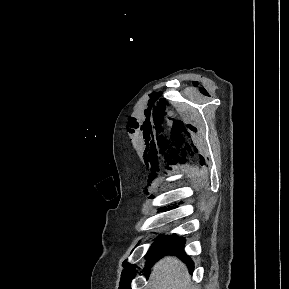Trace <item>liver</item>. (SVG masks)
<instances>
[{
	"label": "liver",
	"instance_id": "6515ba94",
	"mask_svg": "<svg viewBox=\"0 0 289 289\" xmlns=\"http://www.w3.org/2000/svg\"><path fill=\"white\" fill-rule=\"evenodd\" d=\"M151 289H193L185 265L176 257H165L154 267Z\"/></svg>",
	"mask_w": 289,
	"mask_h": 289
}]
</instances>
